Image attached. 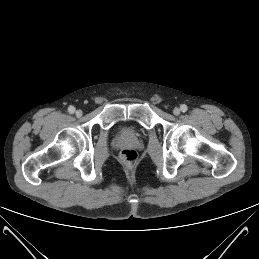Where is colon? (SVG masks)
Segmentation results:
<instances>
[{"label":"colon","mask_w":259,"mask_h":259,"mask_svg":"<svg viewBox=\"0 0 259 259\" xmlns=\"http://www.w3.org/2000/svg\"><path fill=\"white\" fill-rule=\"evenodd\" d=\"M120 159L125 165L131 166L137 159V153L131 149H124L120 153Z\"/></svg>","instance_id":"colon-1"}]
</instances>
